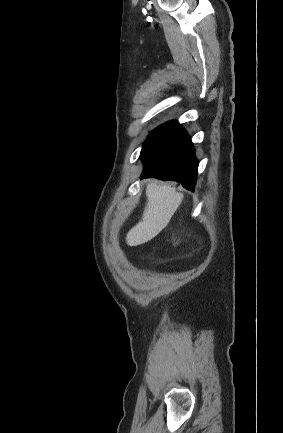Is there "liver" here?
Masks as SVG:
<instances>
[{
	"label": "liver",
	"instance_id": "6515ba94",
	"mask_svg": "<svg viewBox=\"0 0 283 433\" xmlns=\"http://www.w3.org/2000/svg\"><path fill=\"white\" fill-rule=\"evenodd\" d=\"M147 206L143 212V221L135 225L126 237L129 247L143 245L159 235L168 225L172 214L183 200V192H176L175 186L158 184V180L146 186Z\"/></svg>",
	"mask_w": 283,
	"mask_h": 433
}]
</instances>
